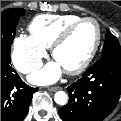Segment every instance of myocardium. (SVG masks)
I'll list each match as a JSON object with an SVG mask.
<instances>
[{"instance_id":"myocardium-1","label":"myocardium","mask_w":121,"mask_h":121,"mask_svg":"<svg viewBox=\"0 0 121 121\" xmlns=\"http://www.w3.org/2000/svg\"><path fill=\"white\" fill-rule=\"evenodd\" d=\"M85 22H91L95 25L96 40H95L93 47L91 48V50L87 54V56L84 58V60L78 66H76L72 69L65 70V73L68 75H77V74L82 73L90 65V63L94 59L95 55L97 54L98 49L101 45V41H102V29H101L99 22L95 18H92V17H82V18L76 20L75 22L71 23L70 25H68L58 35V37L55 39V41L51 45V54H52L53 58H55L56 51L58 50V48L68 40V38L70 37L72 32L79 25H81L82 23H85Z\"/></svg>"}]
</instances>
